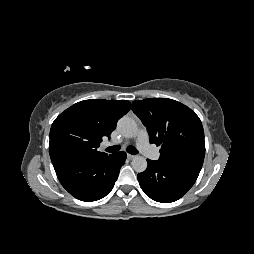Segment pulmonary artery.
I'll return each mask as SVG.
<instances>
[{"label": "pulmonary artery", "instance_id": "1", "mask_svg": "<svg viewBox=\"0 0 254 254\" xmlns=\"http://www.w3.org/2000/svg\"><path fill=\"white\" fill-rule=\"evenodd\" d=\"M136 145L138 149L152 160L159 158V152L150 146L148 141V134L145 129H139L136 134Z\"/></svg>", "mask_w": 254, "mask_h": 254}]
</instances>
